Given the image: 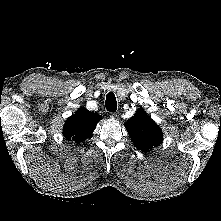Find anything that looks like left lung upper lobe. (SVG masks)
Segmentation results:
<instances>
[{"mask_svg": "<svg viewBox=\"0 0 221 221\" xmlns=\"http://www.w3.org/2000/svg\"><path fill=\"white\" fill-rule=\"evenodd\" d=\"M125 128L136 148L144 152L157 147L163 140L161 128L142 109L128 119Z\"/></svg>", "mask_w": 221, "mask_h": 221, "instance_id": "1", "label": "left lung upper lobe"}]
</instances>
